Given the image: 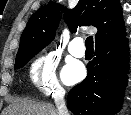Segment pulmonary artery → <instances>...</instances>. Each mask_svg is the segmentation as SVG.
Segmentation results:
<instances>
[{"instance_id": "obj_1", "label": "pulmonary artery", "mask_w": 131, "mask_h": 115, "mask_svg": "<svg viewBox=\"0 0 131 115\" xmlns=\"http://www.w3.org/2000/svg\"><path fill=\"white\" fill-rule=\"evenodd\" d=\"M68 51L71 55L81 58L85 54V50L83 47L82 40L80 38H74L71 40L69 46H68Z\"/></svg>"}]
</instances>
